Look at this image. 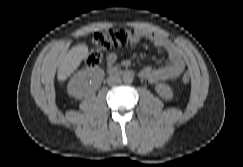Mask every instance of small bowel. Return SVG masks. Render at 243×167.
Returning a JSON list of instances; mask_svg holds the SVG:
<instances>
[{
  "label": "small bowel",
  "mask_w": 243,
  "mask_h": 167,
  "mask_svg": "<svg viewBox=\"0 0 243 167\" xmlns=\"http://www.w3.org/2000/svg\"><path fill=\"white\" fill-rule=\"evenodd\" d=\"M142 40L150 41L155 47L167 53L168 60L159 67L146 66L141 69L140 77L150 83H158L166 80H173L180 77L185 70V61L182 51L169 39L163 35L145 29H133L131 43L136 44ZM117 54L110 52L106 56L108 65H113L117 61Z\"/></svg>",
  "instance_id": "1"
}]
</instances>
